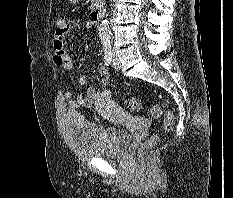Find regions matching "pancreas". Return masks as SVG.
<instances>
[{"instance_id":"obj_1","label":"pancreas","mask_w":233,"mask_h":198,"mask_svg":"<svg viewBox=\"0 0 233 198\" xmlns=\"http://www.w3.org/2000/svg\"><path fill=\"white\" fill-rule=\"evenodd\" d=\"M91 1H92V5H91L92 8L97 7L100 3L103 2V0H91Z\"/></svg>"}]
</instances>
